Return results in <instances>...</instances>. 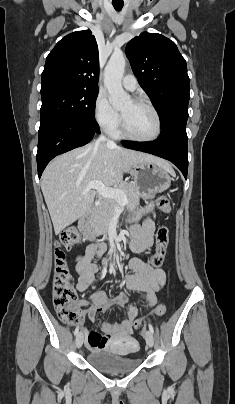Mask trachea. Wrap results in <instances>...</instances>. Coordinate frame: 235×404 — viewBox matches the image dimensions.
I'll return each mask as SVG.
<instances>
[{"label":"trachea","mask_w":235,"mask_h":404,"mask_svg":"<svg viewBox=\"0 0 235 404\" xmlns=\"http://www.w3.org/2000/svg\"><path fill=\"white\" fill-rule=\"evenodd\" d=\"M116 11H120L123 8V4H113Z\"/></svg>","instance_id":"3493384b"}]
</instances>
